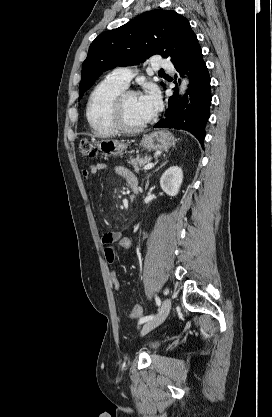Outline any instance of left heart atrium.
Masks as SVG:
<instances>
[{"mask_svg": "<svg viewBox=\"0 0 272 417\" xmlns=\"http://www.w3.org/2000/svg\"><path fill=\"white\" fill-rule=\"evenodd\" d=\"M140 105L152 117L161 107V97L158 89L150 85L146 88L145 93L139 97Z\"/></svg>", "mask_w": 272, "mask_h": 417, "instance_id": "obj_1", "label": "left heart atrium"}]
</instances>
